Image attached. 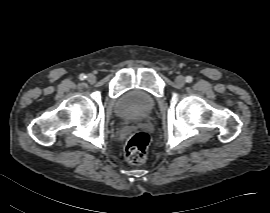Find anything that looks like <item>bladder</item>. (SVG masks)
Wrapping results in <instances>:
<instances>
[{
	"label": "bladder",
	"instance_id": "31cf9c89",
	"mask_svg": "<svg viewBox=\"0 0 270 213\" xmlns=\"http://www.w3.org/2000/svg\"><path fill=\"white\" fill-rule=\"evenodd\" d=\"M157 100L151 93L133 89L124 92L114 102V114L128 121L147 117L156 107Z\"/></svg>",
	"mask_w": 270,
	"mask_h": 213
}]
</instances>
